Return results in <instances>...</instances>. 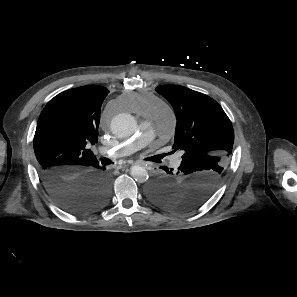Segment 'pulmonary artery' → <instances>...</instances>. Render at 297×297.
I'll return each instance as SVG.
<instances>
[{
  "label": "pulmonary artery",
  "instance_id": "obj_1",
  "mask_svg": "<svg viewBox=\"0 0 297 297\" xmlns=\"http://www.w3.org/2000/svg\"><path fill=\"white\" fill-rule=\"evenodd\" d=\"M173 123L174 114L172 110L163 107L154 119L144 122L132 137L113 148H104L103 151L117 155H128L147 146L157 134L171 127Z\"/></svg>",
  "mask_w": 297,
  "mask_h": 297
}]
</instances>
